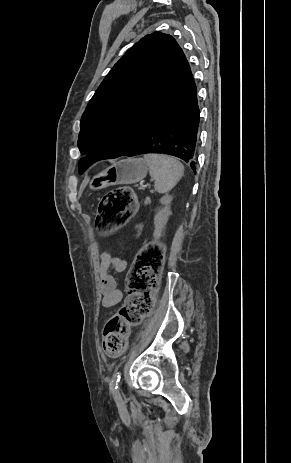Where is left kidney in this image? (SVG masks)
I'll use <instances>...</instances> for the list:
<instances>
[{"label": "left kidney", "instance_id": "1", "mask_svg": "<svg viewBox=\"0 0 291 463\" xmlns=\"http://www.w3.org/2000/svg\"><path fill=\"white\" fill-rule=\"evenodd\" d=\"M171 201H172V196L168 194L164 195L160 199V203L164 205V207L159 209L154 216L155 230H154L153 236L156 240H158L162 236V232L168 222V218L172 214L171 208H170Z\"/></svg>", "mask_w": 291, "mask_h": 463}]
</instances>
